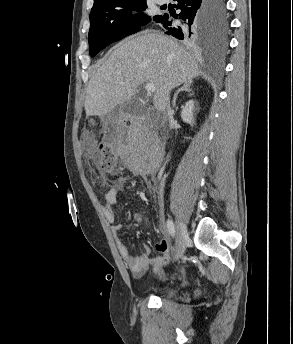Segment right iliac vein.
I'll return each instance as SVG.
<instances>
[{"label": "right iliac vein", "instance_id": "1", "mask_svg": "<svg viewBox=\"0 0 293 344\" xmlns=\"http://www.w3.org/2000/svg\"><path fill=\"white\" fill-rule=\"evenodd\" d=\"M177 248L175 259H179L185 251V240L188 237L186 225L182 221L176 224Z\"/></svg>", "mask_w": 293, "mask_h": 344}]
</instances>
